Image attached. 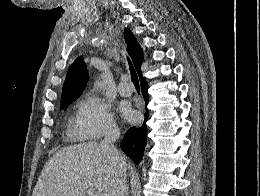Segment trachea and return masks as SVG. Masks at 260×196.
<instances>
[{
  "label": "trachea",
  "mask_w": 260,
  "mask_h": 196,
  "mask_svg": "<svg viewBox=\"0 0 260 196\" xmlns=\"http://www.w3.org/2000/svg\"><path fill=\"white\" fill-rule=\"evenodd\" d=\"M127 60H128V64H129V70H130L132 83H134V86L139 87V80H138L136 70H135L130 58H127Z\"/></svg>",
  "instance_id": "1"
}]
</instances>
